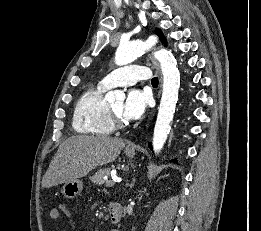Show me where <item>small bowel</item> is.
<instances>
[{
    "label": "small bowel",
    "mask_w": 261,
    "mask_h": 231,
    "mask_svg": "<svg viewBox=\"0 0 261 231\" xmlns=\"http://www.w3.org/2000/svg\"><path fill=\"white\" fill-rule=\"evenodd\" d=\"M63 214L67 217L69 216V211L67 210L66 206L63 204H57L49 212V216L52 220H58ZM69 224L71 226H75V223L72 220H69ZM110 231H119V230L112 229Z\"/></svg>",
    "instance_id": "c3829d8e"
}]
</instances>
